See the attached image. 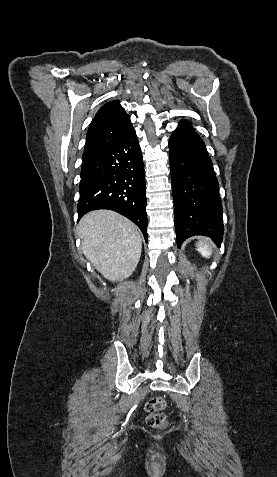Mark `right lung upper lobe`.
Wrapping results in <instances>:
<instances>
[{
  "mask_svg": "<svg viewBox=\"0 0 277 477\" xmlns=\"http://www.w3.org/2000/svg\"><path fill=\"white\" fill-rule=\"evenodd\" d=\"M131 128L130 117L118 100L103 105L89 126L83 157L114 144Z\"/></svg>",
  "mask_w": 277,
  "mask_h": 477,
  "instance_id": "1",
  "label": "right lung upper lobe"
}]
</instances>
